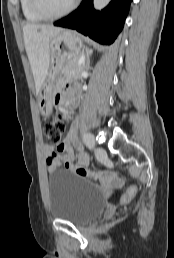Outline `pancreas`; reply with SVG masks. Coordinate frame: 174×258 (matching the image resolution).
Returning <instances> with one entry per match:
<instances>
[{
    "mask_svg": "<svg viewBox=\"0 0 174 258\" xmlns=\"http://www.w3.org/2000/svg\"><path fill=\"white\" fill-rule=\"evenodd\" d=\"M81 55L75 57L68 61L59 73V79L57 81V85H61L66 81L72 79H79L80 74L84 69V64L78 65L79 59Z\"/></svg>",
    "mask_w": 174,
    "mask_h": 258,
    "instance_id": "cf45deb5",
    "label": "pancreas"
}]
</instances>
